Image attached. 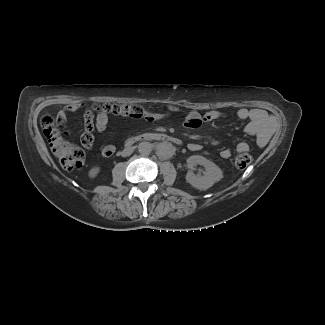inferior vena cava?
Here are the masks:
<instances>
[{
  "mask_svg": "<svg viewBox=\"0 0 325 325\" xmlns=\"http://www.w3.org/2000/svg\"><path fill=\"white\" fill-rule=\"evenodd\" d=\"M133 152V149L130 147V148H125L123 151H122V156L125 157V156H129L131 155Z\"/></svg>",
  "mask_w": 325,
  "mask_h": 325,
  "instance_id": "obj_1",
  "label": "inferior vena cava"
}]
</instances>
